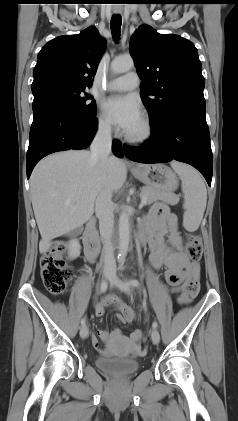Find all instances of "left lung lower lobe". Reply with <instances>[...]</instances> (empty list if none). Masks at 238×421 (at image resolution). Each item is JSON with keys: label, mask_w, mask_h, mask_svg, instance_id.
I'll list each match as a JSON object with an SVG mask.
<instances>
[{"label": "left lung lower lobe", "mask_w": 238, "mask_h": 421, "mask_svg": "<svg viewBox=\"0 0 238 421\" xmlns=\"http://www.w3.org/2000/svg\"><path fill=\"white\" fill-rule=\"evenodd\" d=\"M206 104L192 101L171 109L152 127L153 133L141 148H124L125 155L140 163L177 160L199 170L211 186L213 157Z\"/></svg>", "instance_id": "obj_1"}]
</instances>
